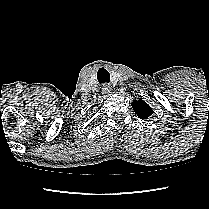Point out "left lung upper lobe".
I'll return each mask as SVG.
<instances>
[{"label": "left lung upper lobe", "instance_id": "5c2ea615", "mask_svg": "<svg viewBox=\"0 0 209 209\" xmlns=\"http://www.w3.org/2000/svg\"><path fill=\"white\" fill-rule=\"evenodd\" d=\"M131 105L140 119L145 120L153 114L152 108L142 99L133 101Z\"/></svg>", "mask_w": 209, "mask_h": 209}]
</instances>
